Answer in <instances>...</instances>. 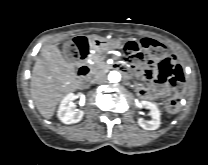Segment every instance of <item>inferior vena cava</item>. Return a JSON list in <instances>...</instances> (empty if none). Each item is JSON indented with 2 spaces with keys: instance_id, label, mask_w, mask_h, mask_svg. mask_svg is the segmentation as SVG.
Masks as SVG:
<instances>
[{
  "instance_id": "602c4592",
  "label": "inferior vena cava",
  "mask_w": 208,
  "mask_h": 165,
  "mask_svg": "<svg viewBox=\"0 0 208 165\" xmlns=\"http://www.w3.org/2000/svg\"><path fill=\"white\" fill-rule=\"evenodd\" d=\"M107 82V77L105 75H98L96 77V83L97 84H103V83H106Z\"/></svg>"
}]
</instances>
